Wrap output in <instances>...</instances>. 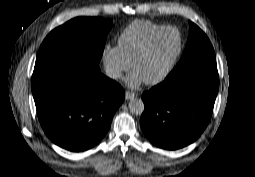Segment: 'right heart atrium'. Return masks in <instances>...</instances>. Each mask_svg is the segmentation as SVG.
Returning a JSON list of instances; mask_svg holds the SVG:
<instances>
[{"mask_svg":"<svg viewBox=\"0 0 255 177\" xmlns=\"http://www.w3.org/2000/svg\"><path fill=\"white\" fill-rule=\"evenodd\" d=\"M102 60L107 74L114 80L120 79L128 71L131 63L125 58L119 45L108 43L102 51Z\"/></svg>","mask_w":255,"mask_h":177,"instance_id":"right-heart-atrium-1","label":"right heart atrium"}]
</instances>
